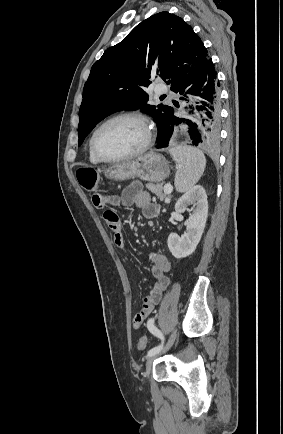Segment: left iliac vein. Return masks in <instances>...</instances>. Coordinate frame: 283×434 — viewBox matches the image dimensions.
Listing matches in <instances>:
<instances>
[{
    "instance_id": "obj_1",
    "label": "left iliac vein",
    "mask_w": 283,
    "mask_h": 434,
    "mask_svg": "<svg viewBox=\"0 0 283 434\" xmlns=\"http://www.w3.org/2000/svg\"><path fill=\"white\" fill-rule=\"evenodd\" d=\"M176 336H177V329H175V330L172 332V334L170 335L169 340H168V342H167V344H166V346H165V348L163 349L162 352H166V351H168V350L171 348V346L173 345V343H174V341H175V339H176ZM158 356H159V352L156 353V354H154V355H152V356H150V357L148 358V360H147V362H146V372H145V377H147V378L149 377L150 372H151V369H152L153 362H154V360H155Z\"/></svg>"
}]
</instances>
